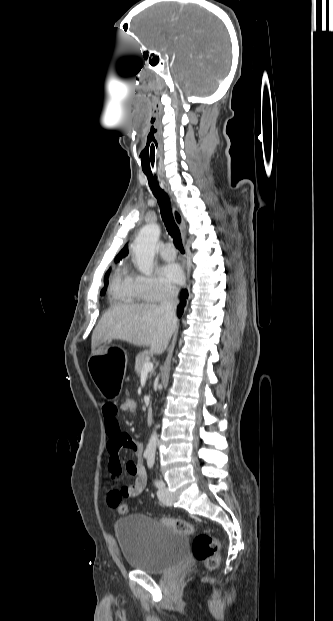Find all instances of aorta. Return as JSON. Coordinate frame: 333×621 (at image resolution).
Returning <instances> with one entry per match:
<instances>
[{
  "label": "aorta",
  "mask_w": 333,
  "mask_h": 621,
  "mask_svg": "<svg viewBox=\"0 0 333 621\" xmlns=\"http://www.w3.org/2000/svg\"><path fill=\"white\" fill-rule=\"evenodd\" d=\"M161 230L157 224H147L138 233L134 242V254L137 266L140 272L149 275L152 270V264L155 255V248L160 236ZM156 430L151 434L148 445L144 452L145 456H155L157 446Z\"/></svg>",
  "instance_id": "obj_1"
}]
</instances>
